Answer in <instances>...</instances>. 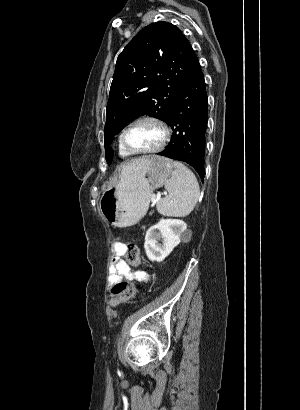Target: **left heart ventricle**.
<instances>
[{"mask_svg":"<svg viewBox=\"0 0 300 410\" xmlns=\"http://www.w3.org/2000/svg\"><path fill=\"white\" fill-rule=\"evenodd\" d=\"M162 139L160 127L149 121L133 125L125 135L128 147L136 150H145L156 147Z\"/></svg>","mask_w":300,"mask_h":410,"instance_id":"1","label":"left heart ventricle"}]
</instances>
